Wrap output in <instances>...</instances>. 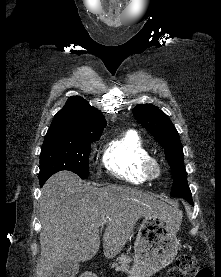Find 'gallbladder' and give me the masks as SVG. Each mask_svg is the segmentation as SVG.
Returning <instances> with one entry per match:
<instances>
[{"label": "gallbladder", "mask_w": 221, "mask_h": 277, "mask_svg": "<svg viewBox=\"0 0 221 277\" xmlns=\"http://www.w3.org/2000/svg\"><path fill=\"white\" fill-rule=\"evenodd\" d=\"M79 263L65 260L60 262L52 271L50 277H75L79 272Z\"/></svg>", "instance_id": "bac80fb5"}]
</instances>
